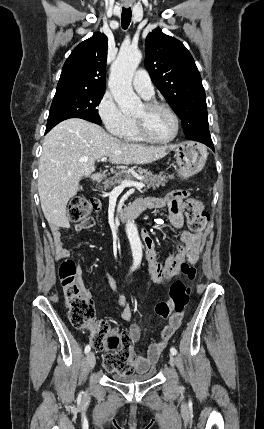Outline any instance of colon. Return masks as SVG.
I'll use <instances>...</instances> for the list:
<instances>
[{"instance_id":"5ec220e1","label":"colon","mask_w":264,"mask_h":429,"mask_svg":"<svg viewBox=\"0 0 264 429\" xmlns=\"http://www.w3.org/2000/svg\"><path fill=\"white\" fill-rule=\"evenodd\" d=\"M99 209L100 203L97 200L77 196L69 203L68 216L72 221H81L92 211L95 212ZM184 211L189 229L193 233L201 232L209 220L201 202L190 199L186 202ZM197 258V251H191L187 261L182 263L181 271L186 280H177L171 285L169 299L158 303L155 307L157 317L167 318L172 313H184L190 298L188 281L194 279V264ZM59 278L65 304L69 309L71 324L77 329H89L91 331L93 347L98 351L106 352L104 359L106 370L120 374L132 373L135 360L132 337L128 332H118L112 329L105 322L95 321L93 304L77 280V267L73 260L63 258L59 266Z\"/></svg>"}]
</instances>
